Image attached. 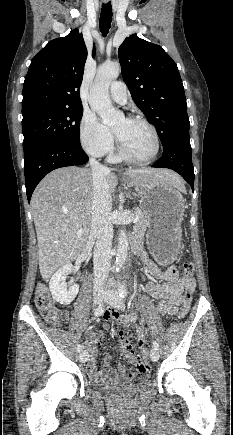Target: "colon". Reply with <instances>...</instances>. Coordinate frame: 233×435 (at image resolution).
<instances>
[{
	"label": "colon",
	"mask_w": 233,
	"mask_h": 435,
	"mask_svg": "<svg viewBox=\"0 0 233 435\" xmlns=\"http://www.w3.org/2000/svg\"><path fill=\"white\" fill-rule=\"evenodd\" d=\"M194 271L195 265L193 262H185L183 264L182 274L184 282L187 286L191 285L193 282ZM191 300V291L188 287L183 293V305L180 316H184L188 312L191 306ZM34 302L41 316L51 324H60L68 317L67 311L59 310L53 305L50 299L49 290L44 283H39L37 285L35 290ZM146 358L147 353L142 352L136 363L137 371L139 373L150 370V366Z\"/></svg>",
	"instance_id": "5ec220e1"
}]
</instances>
